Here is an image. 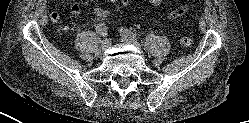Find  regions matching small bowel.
<instances>
[{
  "label": "small bowel",
  "mask_w": 249,
  "mask_h": 123,
  "mask_svg": "<svg viewBox=\"0 0 249 123\" xmlns=\"http://www.w3.org/2000/svg\"><path fill=\"white\" fill-rule=\"evenodd\" d=\"M107 2L116 5L117 7H125L129 4L130 0H107ZM150 3H152L153 5H159L162 0H149ZM189 9V5H184L182 7H180L179 9L172 11L169 14V18L174 20L177 19L179 17H181L186 11H188ZM109 10L104 9V8H95L93 10V14L98 17V18H104L106 16L109 15ZM80 14V6L77 3H73L71 8H70V15L72 17H77ZM49 18L53 23H56L60 20V14L56 11H52L49 14ZM101 23H98L96 25V28L98 27V25ZM64 31H68L69 27L65 26Z\"/></svg>",
  "instance_id": "1"
}]
</instances>
